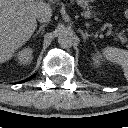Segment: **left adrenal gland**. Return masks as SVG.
<instances>
[{
  "mask_svg": "<svg viewBox=\"0 0 128 128\" xmlns=\"http://www.w3.org/2000/svg\"><path fill=\"white\" fill-rule=\"evenodd\" d=\"M79 32L82 34L83 40L86 41L87 38L91 37V34H88L87 32H84L83 30L79 29Z\"/></svg>",
  "mask_w": 128,
  "mask_h": 128,
  "instance_id": "1",
  "label": "left adrenal gland"
}]
</instances>
